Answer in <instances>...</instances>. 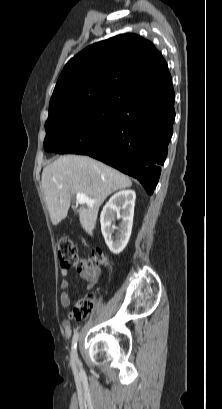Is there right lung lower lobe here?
Listing matches in <instances>:
<instances>
[{"label": "right lung lower lobe", "mask_w": 222, "mask_h": 409, "mask_svg": "<svg viewBox=\"0 0 222 409\" xmlns=\"http://www.w3.org/2000/svg\"><path fill=\"white\" fill-rule=\"evenodd\" d=\"M172 84L171 75L164 77ZM173 87L160 95L120 103L103 144L87 155L140 181L151 195L173 133Z\"/></svg>", "instance_id": "98d812e1"}]
</instances>
